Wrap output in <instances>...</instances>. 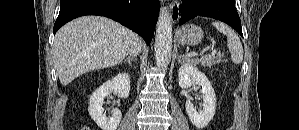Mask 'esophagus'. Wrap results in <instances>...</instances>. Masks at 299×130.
Segmentation results:
<instances>
[{"label":"esophagus","instance_id":"1","mask_svg":"<svg viewBox=\"0 0 299 130\" xmlns=\"http://www.w3.org/2000/svg\"><path fill=\"white\" fill-rule=\"evenodd\" d=\"M170 11V20L172 23H176L180 18L179 8L177 3H170L169 5Z\"/></svg>","mask_w":299,"mask_h":130}]
</instances>
